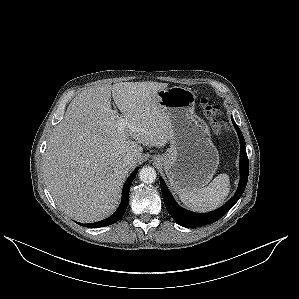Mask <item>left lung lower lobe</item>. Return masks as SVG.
<instances>
[{"label":"left lung lower lobe","mask_w":299,"mask_h":299,"mask_svg":"<svg viewBox=\"0 0 299 299\" xmlns=\"http://www.w3.org/2000/svg\"><path fill=\"white\" fill-rule=\"evenodd\" d=\"M232 123L238 133V137L240 140V183L239 187L235 193V195L221 208L205 213V214H199L190 212L188 210H185L177 205L175 200L173 199L171 193L169 192L165 182L160 178V185H161V191L164 199L165 206L170 213V215L173 217V219L181 226L186 228H194L199 226H204L207 224H211L217 220H219L223 215H225L238 201V199L243 194L247 180H248V174H249V162L248 157L246 153V147H245V140L244 137L233 120L231 118Z\"/></svg>","instance_id":"1"}]
</instances>
